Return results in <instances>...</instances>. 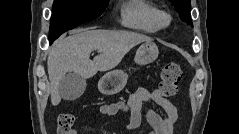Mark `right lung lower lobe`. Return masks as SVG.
Returning <instances> with one entry per match:
<instances>
[{"mask_svg":"<svg viewBox=\"0 0 239 134\" xmlns=\"http://www.w3.org/2000/svg\"><path fill=\"white\" fill-rule=\"evenodd\" d=\"M50 41V44L53 42L52 40H49Z\"/></svg>","mask_w":239,"mask_h":134,"instance_id":"1","label":"right lung lower lobe"}]
</instances>
